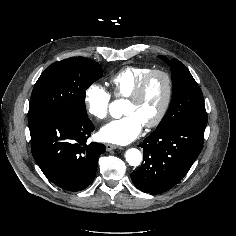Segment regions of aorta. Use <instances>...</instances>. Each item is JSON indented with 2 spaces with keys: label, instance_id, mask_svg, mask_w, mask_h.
Returning a JSON list of instances; mask_svg holds the SVG:
<instances>
[{
  "label": "aorta",
  "instance_id": "762f6f07",
  "mask_svg": "<svg viewBox=\"0 0 236 236\" xmlns=\"http://www.w3.org/2000/svg\"><path fill=\"white\" fill-rule=\"evenodd\" d=\"M119 110V106L117 103H111L109 106V111L112 116H115V112ZM126 161L131 166H138L142 161V154L136 148L128 149L125 153Z\"/></svg>",
  "mask_w": 236,
  "mask_h": 236
}]
</instances>
